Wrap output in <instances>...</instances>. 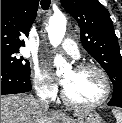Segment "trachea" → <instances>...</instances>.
I'll list each match as a JSON object with an SVG mask.
<instances>
[{
  "label": "trachea",
  "mask_w": 122,
  "mask_h": 123,
  "mask_svg": "<svg viewBox=\"0 0 122 123\" xmlns=\"http://www.w3.org/2000/svg\"><path fill=\"white\" fill-rule=\"evenodd\" d=\"M40 4H41V7L43 10H47L50 7L51 1L50 0H41Z\"/></svg>",
  "instance_id": "obj_1"
}]
</instances>
